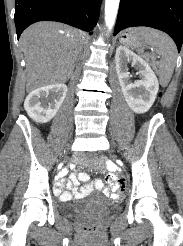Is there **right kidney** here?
<instances>
[{
  "label": "right kidney",
  "mask_w": 183,
  "mask_h": 246,
  "mask_svg": "<svg viewBox=\"0 0 183 246\" xmlns=\"http://www.w3.org/2000/svg\"><path fill=\"white\" fill-rule=\"evenodd\" d=\"M68 88L64 83L40 87L26 97L24 108L37 123L49 122L61 107Z\"/></svg>",
  "instance_id": "obj_1"
}]
</instances>
